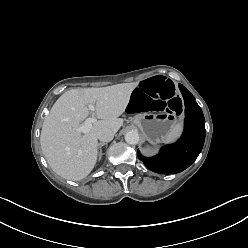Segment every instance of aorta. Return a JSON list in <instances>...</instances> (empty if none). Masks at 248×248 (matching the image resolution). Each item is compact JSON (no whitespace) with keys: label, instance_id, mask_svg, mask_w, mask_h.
Returning <instances> with one entry per match:
<instances>
[{"label":"aorta","instance_id":"762f6f07","mask_svg":"<svg viewBox=\"0 0 248 248\" xmlns=\"http://www.w3.org/2000/svg\"><path fill=\"white\" fill-rule=\"evenodd\" d=\"M140 140L139 134L136 131H129L125 134V141L128 144L135 145L138 144Z\"/></svg>","mask_w":248,"mask_h":248}]
</instances>
